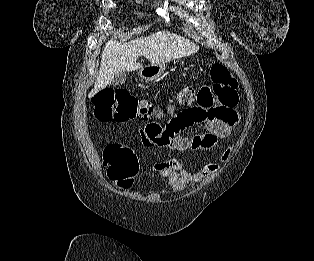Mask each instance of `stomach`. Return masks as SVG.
<instances>
[{"instance_id": "obj_1", "label": "stomach", "mask_w": 314, "mask_h": 261, "mask_svg": "<svg viewBox=\"0 0 314 261\" xmlns=\"http://www.w3.org/2000/svg\"><path fill=\"white\" fill-rule=\"evenodd\" d=\"M165 63L149 64L139 70V76L144 81H153L158 79L165 71Z\"/></svg>"}]
</instances>
